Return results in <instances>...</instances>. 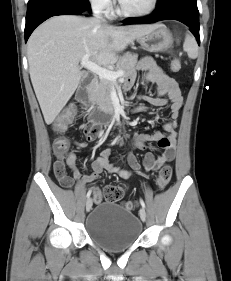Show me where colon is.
Segmentation results:
<instances>
[{
    "mask_svg": "<svg viewBox=\"0 0 231 281\" xmlns=\"http://www.w3.org/2000/svg\"><path fill=\"white\" fill-rule=\"evenodd\" d=\"M180 69L181 62L178 59L172 60L170 63V70L172 72H179ZM75 112L76 109L74 106L68 107L56 118L53 123V130L57 133V136L53 141V153L60 160L67 158L69 154V143L68 140L62 135V133L66 130L67 126L72 121ZM171 177V167H162L158 172L155 180L157 188L164 189L169 184ZM123 194L124 188L121 185H110L104 189L103 194L100 191L95 190L94 197L96 202H100L103 198L106 201L116 202L122 198ZM124 205L129 210H133L136 207V203L134 201H126Z\"/></svg>",
    "mask_w": 231,
    "mask_h": 281,
    "instance_id": "1",
    "label": "colon"
}]
</instances>
